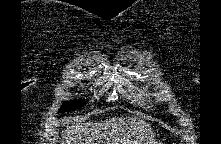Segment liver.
<instances>
[{
    "label": "liver",
    "mask_w": 221,
    "mask_h": 144,
    "mask_svg": "<svg viewBox=\"0 0 221 144\" xmlns=\"http://www.w3.org/2000/svg\"><path fill=\"white\" fill-rule=\"evenodd\" d=\"M154 137L146 121L135 117H113L100 123L68 125L62 144H143Z\"/></svg>",
    "instance_id": "obj_1"
}]
</instances>
